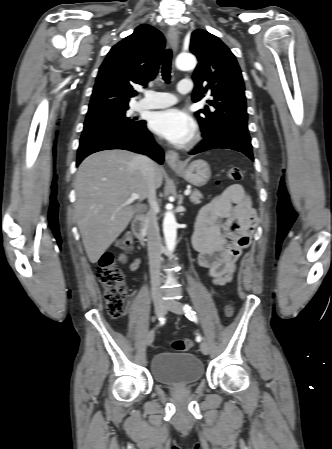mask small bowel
Returning <instances> with one entry per match:
<instances>
[{
	"mask_svg": "<svg viewBox=\"0 0 332 449\" xmlns=\"http://www.w3.org/2000/svg\"><path fill=\"white\" fill-rule=\"evenodd\" d=\"M256 226L251 200L240 185L228 187L200 210L193 244L199 253V264L208 270L216 285L231 281L237 261L249 246ZM139 264V259H133L131 270H136Z\"/></svg>",
	"mask_w": 332,
	"mask_h": 449,
	"instance_id": "small-bowel-1",
	"label": "small bowel"
}]
</instances>
